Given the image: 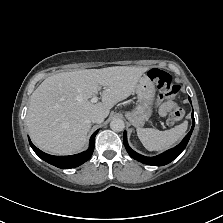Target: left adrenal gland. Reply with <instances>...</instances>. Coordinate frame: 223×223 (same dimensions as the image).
I'll list each match as a JSON object with an SVG mask.
<instances>
[{
    "label": "left adrenal gland",
    "instance_id": "a2214340",
    "mask_svg": "<svg viewBox=\"0 0 223 223\" xmlns=\"http://www.w3.org/2000/svg\"><path fill=\"white\" fill-rule=\"evenodd\" d=\"M133 133H135V129H134V127H133Z\"/></svg>",
    "mask_w": 223,
    "mask_h": 223
}]
</instances>
